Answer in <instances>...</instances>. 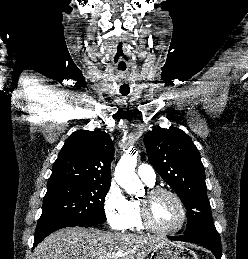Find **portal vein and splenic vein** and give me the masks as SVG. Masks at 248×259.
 <instances>
[{
    "label": "portal vein and splenic vein",
    "mask_w": 248,
    "mask_h": 259,
    "mask_svg": "<svg viewBox=\"0 0 248 259\" xmlns=\"http://www.w3.org/2000/svg\"><path fill=\"white\" fill-rule=\"evenodd\" d=\"M106 256H100L99 259H105Z\"/></svg>",
    "instance_id": "obj_1"
}]
</instances>
